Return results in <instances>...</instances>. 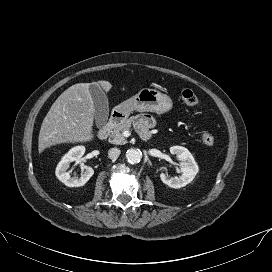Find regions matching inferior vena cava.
Here are the masks:
<instances>
[{"label":"inferior vena cava","instance_id":"602c4592","mask_svg":"<svg viewBox=\"0 0 272 272\" xmlns=\"http://www.w3.org/2000/svg\"><path fill=\"white\" fill-rule=\"evenodd\" d=\"M120 153H121L120 149L117 147H114L109 150L108 157L110 159H117L119 157Z\"/></svg>","mask_w":272,"mask_h":272}]
</instances>
